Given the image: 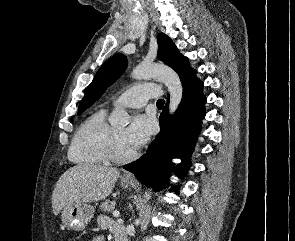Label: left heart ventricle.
<instances>
[{
  "label": "left heart ventricle",
  "mask_w": 295,
  "mask_h": 241,
  "mask_svg": "<svg viewBox=\"0 0 295 241\" xmlns=\"http://www.w3.org/2000/svg\"><path fill=\"white\" fill-rule=\"evenodd\" d=\"M113 131L115 133L120 152H122L124 154H128V153L133 152L134 149H132L126 143L125 138H124L126 128L125 127H117V128H114Z\"/></svg>",
  "instance_id": "obj_1"
}]
</instances>
